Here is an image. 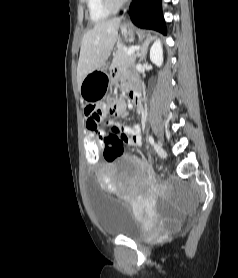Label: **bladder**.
<instances>
[{"label": "bladder", "instance_id": "1", "mask_svg": "<svg viewBox=\"0 0 238 278\" xmlns=\"http://www.w3.org/2000/svg\"><path fill=\"white\" fill-rule=\"evenodd\" d=\"M87 180H96V175H87ZM91 206L100 230L109 236H122L141 240L148 233L143 221L134 214L131 205L103 191L98 181H86Z\"/></svg>", "mask_w": 238, "mask_h": 278}]
</instances>
